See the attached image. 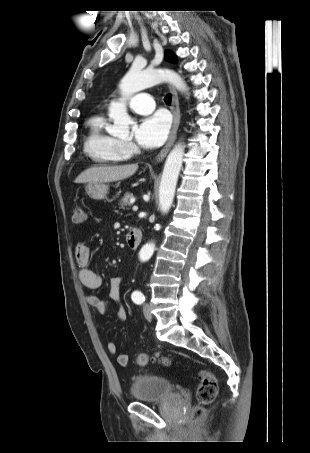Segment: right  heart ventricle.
<instances>
[{"label":"right heart ventricle","instance_id":"e07e8e85","mask_svg":"<svg viewBox=\"0 0 310 453\" xmlns=\"http://www.w3.org/2000/svg\"><path fill=\"white\" fill-rule=\"evenodd\" d=\"M84 151L92 161L99 164H116L128 157L122 141L107 131L106 119L101 114L91 116L87 122Z\"/></svg>","mask_w":310,"mask_h":453}]
</instances>
